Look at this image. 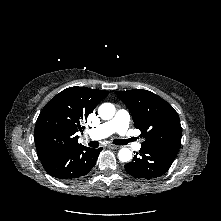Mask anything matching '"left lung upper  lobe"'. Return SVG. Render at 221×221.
Masks as SVG:
<instances>
[{"label":"left lung upper lobe","mask_w":221,"mask_h":221,"mask_svg":"<svg viewBox=\"0 0 221 221\" xmlns=\"http://www.w3.org/2000/svg\"><path fill=\"white\" fill-rule=\"evenodd\" d=\"M116 94L130 110L135 128L145 138L142 146L178 153L182 129L179 116L170 104L147 90L117 91Z\"/></svg>","instance_id":"obj_1"}]
</instances>
